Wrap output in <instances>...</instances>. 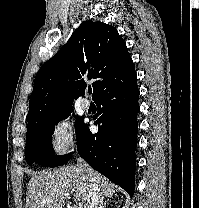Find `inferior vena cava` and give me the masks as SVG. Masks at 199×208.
I'll return each mask as SVG.
<instances>
[{
  "mask_svg": "<svg viewBox=\"0 0 199 208\" xmlns=\"http://www.w3.org/2000/svg\"><path fill=\"white\" fill-rule=\"evenodd\" d=\"M77 166L84 173H86V175L90 179V188L88 191L86 208H101L103 202V196L100 193L99 186L93 170L81 157L77 159Z\"/></svg>",
  "mask_w": 199,
  "mask_h": 208,
  "instance_id": "1",
  "label": "inferior vena cava"
}]
</instances>
